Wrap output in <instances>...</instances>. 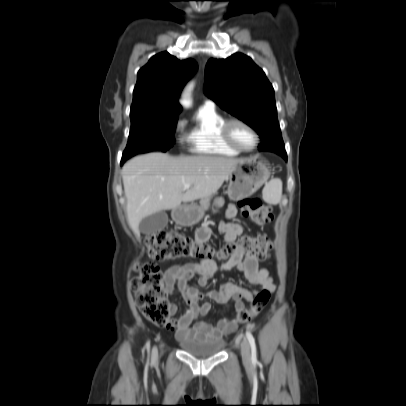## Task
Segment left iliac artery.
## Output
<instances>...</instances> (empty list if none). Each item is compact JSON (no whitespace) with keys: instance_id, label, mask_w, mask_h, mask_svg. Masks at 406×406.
<instances>
[{"instance_id":"obj_1","label":"left iliac artery","mask_w":406,"mask_h":406,"mask_svg":"<svg viewBox=\"0 0 406 406\" xmlns=\"http://www.w3.org/2000/svg\"><path fill=\"white\" fill-rule=\"evenodd\" d=\"M246 337L249 341V344L251 346V358H252V362L256 363L257 362V350H256V344H255V339L253 337V335L251 334V332H246Z\"/></svg>"}]
</instances>
